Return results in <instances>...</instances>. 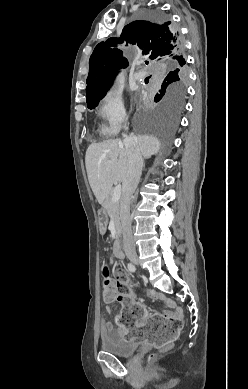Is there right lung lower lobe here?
<instances>
[{
	"mask_svg": "<svg viewBox=\"0 0 248 389\" xmlns=\"http://www.w3.org/2000/svg\"><path fill=\"white\" fill-rule=\"evenodd\" d=\"M171 29H172L173 33L176 35V39H175V40L177 41V45H178L177 49H180V48H181V47H180L181 40H180V38H179V34H178V32H175V31L173 30L172 26H171Z\"/></svg>",
	"mask_w": 248,
	"mask_h": 389,
	"instance_id": "obj_1",
	"label": "right lung lower lobe"
}]
</instances>
